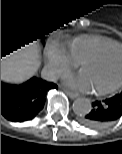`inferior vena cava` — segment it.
Segmentation results:
<instances>
[{"instance_id": "inferior-vena-cava-1", "label": "inferior vena cava", "mask_w": 122, "mask_h": 154, "mask_svg": "<svg viewBox=\"0 0 122 154\" xmlns=\"http://www.w3.org/2000/svg\"><path fill=\"white\" fill-rule=\"evenodd\" d=\"M41 76L43 79L47 81H55L57 79V74L56 72L48 67H44L41 72Z\"/></svg>"}]
</instances>
